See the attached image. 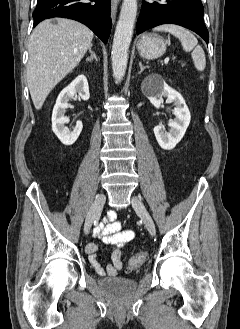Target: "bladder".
<instances>
[{
  "label": "bladder",
  "mask_w": 240,
  "mask_h": 329,
  "mask_svg": "<svg viewBox=\"0 0 240 329\" xmlns=\"http://www.w3.org/2000/svg\"><path fill=\"white\" fill-rule=\"evenodd\" d=\"M100 287L112 296L122 298L135 290L136 283L127 277L113 276L102 279L100 281Z\"/></svg>",
  "instance_id": "bladder-1"
}]
</instances>
